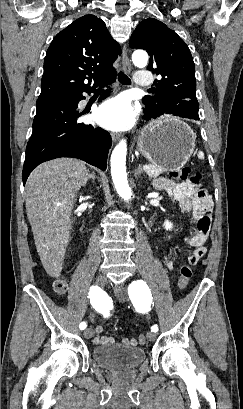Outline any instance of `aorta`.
I'll return each mask as SVG.
<instances>
[{"instance_id":"1","label":"aorta","mask_w":243,"mask_h":409,"mask_svg":"<svg viewBox=\"0 0 243 409\" xmlns=\"http://www.w3.org/2000/svg\"><path fill=\"white\" fill-rule=\"evenodd\" d=\"M132 61L138 67H144L148 62V55L143 51L134 52L132 55ZM126 155L127 144L125 140H121L120 143L116 145L111 155V175L119 196L125 201H129L132 197V191L127 180Z\"/></svg>"}]
</instances>
